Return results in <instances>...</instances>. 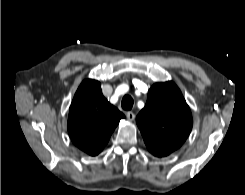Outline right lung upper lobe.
Wrapping results in <instances>:
<instances>
[{"label": "right lung upper lobe", "instance_id": "right-lung-upper-lobe-1", "mask_svg": "<svg viewBox=\"0 0 245 195\" xmlns=\"http://www.w3.org/2000/svg\"><path fill=\"white\" fill-rule=\"evenodd\" d=\"M124 117L104 98L98 81L85 79L69 109L68 133L79 149L95 156L103 150Z\"/></svg>", "mask_w": 245, "mask_h": 195}]
</instances>
